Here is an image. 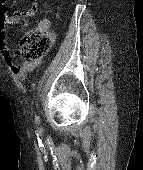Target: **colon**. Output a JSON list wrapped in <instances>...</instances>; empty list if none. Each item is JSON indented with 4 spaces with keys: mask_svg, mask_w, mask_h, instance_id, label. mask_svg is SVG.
<instances>
[{
    "mask_svg": "<svg viewBox=\"0 0 143 170\" xmlns=\"http://www.w3.org/2000/svg\"><path fill=\"white\" fill-rule=\"evenodd\" d=\"M8 0H0V21L9 16ZM54 41L53 34L45 28H36L25 33L20 48V55L25 61L43 58L50 51Z\"/></svg>",
    "mask_w": 143,
    "mask_h": 170,
    "instance_id": "1",
    "label": "colon"
}]
</instances>
